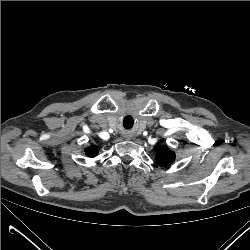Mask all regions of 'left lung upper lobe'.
<instances>
[{
	"label": "left lung upper lobe",
	"instance_id": "5c2ea615",
	"mask_svg": "<svg viewBox=\"0 0 250 250\" xmlns=\"http://www.w3.org/2000/svg\"><path fill=\"white\" fill-rule=\"evenodd\" d=\"M156 157L159 165L166 166L175 160V153L166 147H159Z\"/></svg>",
	"mask_w": 250,
	"mask_h": 250
}]
</instances>
